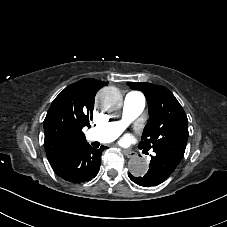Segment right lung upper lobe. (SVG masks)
I'll return each instance as SVG.
<instances>
[{
	"mask_svg": "<svg viewBox=\"0 0 227 227\" xmlns=\"http://www.w3.org/2000/svg\"><path fill=\"white\" fill-rule=\"evenodd\" d=\"M107 83L82 79L66 87L52 102L44 120L45 150L51 167L86 143L82 128L90 127L97 91Z\"/></svg>",
	"mask_w": 227,
	"mask_h": 227,
	"instance_id": "obj_1",
	"label": "right lung upper lobe"
}]
</instances>
